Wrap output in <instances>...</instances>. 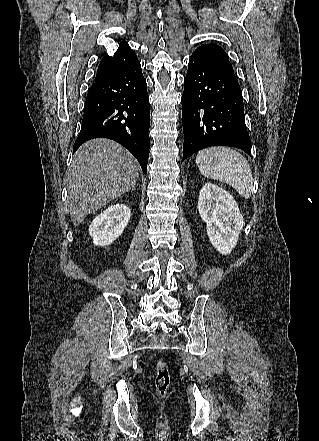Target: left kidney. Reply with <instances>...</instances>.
<instances>
[{
  "label": "left kidney",
  "instance_id": "1",
  "mask_svg": "<svg viewBox=\"0 0 319 441\" xmlns=\"http://www.w3.org/2000/svg\"><path fill=\"white\" fill-rule=\"evenodd\" d=\"M198 210L207 224V235L213 247L227 255L238 242L244 219L234 198L213 183L200 190Z\"/></svg>",
  "mask_w": 319,
  "mask_h": 441
}]
</instances>
